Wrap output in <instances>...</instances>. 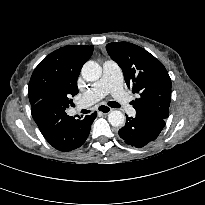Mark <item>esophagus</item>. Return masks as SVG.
<instances>
[{
    "label": "esophagus",
    "mask_w": 205,
    "mask_h": 205,
    "mask_svg": "<svg viewBox=\"0 0 205 205\" xmlns=\"http://www.w3.org/2000/svg\"><path fill=\"white\" fill-rule=\"evenodd\" d=\"M98 111H99V112H102V113H104V114H108V113H110V112L112 111V108H110V107L107 106V105L102 104V105H99Z\"/></svg>",
    "instance_id": "obj_1"
}]
</instances>
